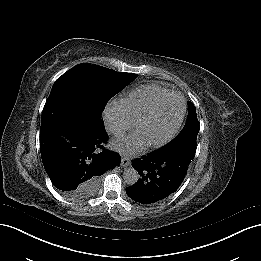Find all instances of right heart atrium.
<instances>
[{
  "mask_svg": "<svg viewBox=\"0 0 261 261\" xmlns=\"http://www.w3.org/2000/svg\"><path fill=\"white\" fill-rule=\"evenodd\" d=\"M101 117L108 129L114 134L121 135L126 131V121L120 116L114 102H109L105 105Z\"/></svg>",
  "mask_w": 261,
  "mask_h": 261,
  "instance_id": "obj_1",
  "label": "right heart atrium"
}]
</instances>
